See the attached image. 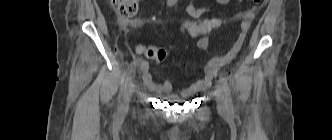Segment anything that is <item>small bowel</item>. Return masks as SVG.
<instances>
[{"label": "small bowel", "mask_w": 332, "mask_h": 140, "mask_svg": "<svg viewBox=\"0 0 332 140\" xmlns=\"http://www.w3.org/2000/svg\"><path fill=\"white\" fill-rule=\"evenodd\" d=\"M219 4L225 5L230 2V0H216ZM243 0H238L242 2ZM187 13L192 18H199L202 15L211 11L209 7L196 8L192 0L189 1L186 7ZM242 22L240 23V28L237 37L230 45V47L221 55L211 58L204 67L203 76L196 82L192 83L187 88H184L179 95L173 94V83L166 80L164 83L159 84L153 80L152 74L150 72V65L145 59H139V68L142 72L144 85L149 91L159 95L163 100L169 102H177L181 99L191 97L198 92L204 90L215 77L219 69L225 64L229 63L241 49L243 42L247 36V33L251 27L252 20L254 18V10L246 11L241 14ZM200 49L206 50L209 47V38L207 36H201L197 42Z\"/></svg>", "instance_id": "small-bowel-1"}]
</instances>
